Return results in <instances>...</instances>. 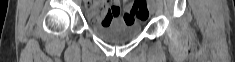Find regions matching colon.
<instances>
[{"instance_id":"5ec220e1","label":"colon","mask_w":235,"mask_h":62,"mask_svg":"<svg viewBox=\"0 0 235 62\" xmlns=\"http://www.w3.org/2000/svg\"><path fill=\"white\" fill-rule=\"evenodd\" d=\"M147 17V8L143 0H135L129 12L128 20L125 22H132L136 18L145 19ZM102 25H109V19L106 16L101 22Z\"/></svg>"}]
</instances>
